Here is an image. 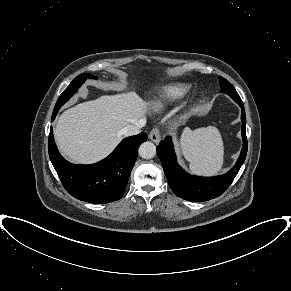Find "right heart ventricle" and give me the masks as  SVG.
<instances>
[{"label": "right heart ventricle", "mask_w": 291, "mask_h": 291, "mask_svg": "<svg viewBox=\"0 0 291 291\" xmlns=\"http://www.w3.org/2000/svg\"><path fill=\"white\" fill-rule=\"evenodd\" d=\"M190 89L189 85L182 83L167 85L161 89L158 96L149 101V106L154 110H161L165 106L183 99Z\"/></svg>", "instance_id": "obj_1"}]
</instances>
